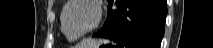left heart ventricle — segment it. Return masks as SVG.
I'll use <instances>...</instances> for the list:
<instances>
[{
  "label": "left heart ventricle",
  "mask_w": 213,
  "mask_h": 48,
  "mask_svg": "<svg viewBox=\"0 0 213 48\" xmlns=\"http://www.w3.org/2000/svg\"><path fill=\"white\" fill-rule=\"evenodd\" d=\"M96 19V11L90 4L81 2L72 5L66 13V27L72 33L88 30Z\"/></svg>",
  "instance_id": "obj_1"
}]
</instances>
